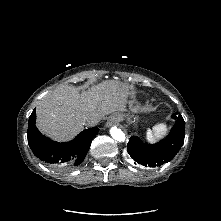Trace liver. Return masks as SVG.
Segmentation results:
<instances>
[{"label":"liver","instance_id":"obj_1","mask_svg":"<svg viewBox=\"0 0 221 221\" xmlns=\"http://www.w3.org/2000/svg\"><path fill=\"white\" fill-rule=\"evenodd\" d=\"M130 89L131 86L114 80L103 81L82 93L62 85L38 102L37 127L54 140H70L83 130L87 118L101 121L112 112L124 110Z\"/></svg>","mask_w":221,"mask_h":221}]
</instances>
